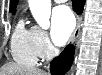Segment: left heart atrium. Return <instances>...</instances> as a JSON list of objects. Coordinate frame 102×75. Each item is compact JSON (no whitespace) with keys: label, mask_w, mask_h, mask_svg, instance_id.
I'll use <instances>...</instances> for the list:
<instances>
[{"label":"left heart atrium","mask_w":102,"mask_h":75,"mask_svg":"<svg viewBox=\"0 0 102 75\" xmlns=\"http://www.w3.org/2000/svg\"><path fill=\"white\" fill-rule=\"evenodd\" d=\"M75 28V17L66 5L56 7L51 17V38L58 45H64Z\"/></svg>","instance_id":"obj_1"}]
</instances>
